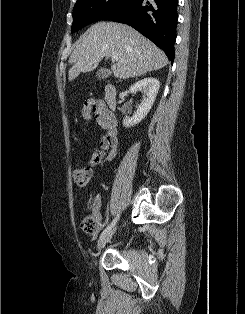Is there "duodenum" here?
Returning <instances> with one entry per match:
<instances>
[{"label": "duodenum", "instance_id": "1", "mask_svg": "<svg viewBox=\"0 0 245 314\" xmlns=\"http://www.w3.org/2000/svg\"><path fill=\"white\" fill-rule=\"evenodd\" d=\"M104 107L108 114L113 115V111L117 107V88L109 82L105 86L104 90Z\"/></svg>", "mask_w": 245, "mask_h": 314}]
</instances>
